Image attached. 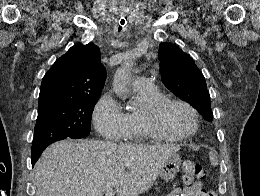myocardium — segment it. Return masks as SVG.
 I'll return each mask as SVG.
<instances>
[{"label": "myocardium", "instance_id": "1", "mask_svg": "<svg viewBox=\"0 0 260 196\" xmlns=\"http://www.w3.org/2000/svg\"><path fill=\"white\" fill-rule=\"evenodd\" d=\"M177 104L187 108L193 115L195 125L194 128L182 135V136H174L165 133L158 125V119L160 115L166 110L170 105ZM199 121L200 116L198 111L194 106L190 103L181 100L179 98H169L165 97L161 100L154 102L153 104L145 107L140 114V123L145 131L150 133L156 139L171 141V142H187L189 141L198 131L199 129ZM101 190H97L96 192H100Z\"/></svg>", "mask_w": 260, "mask_h": 196}]
</instances>
